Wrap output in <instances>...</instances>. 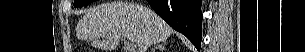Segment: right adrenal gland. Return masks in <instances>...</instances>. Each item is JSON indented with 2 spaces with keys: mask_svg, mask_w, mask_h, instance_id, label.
Here are the masks:
<instances>
[{
  "mask_svg": "<svg viewBox=\"0 0 305 52\" xmlns=\"http://www.w3.org/2000/svg\"><path fill=\"white\" fill-rule=\"evenodd\" d=\"M166 41L157 43L156 45H154V47L152 48L151 52H155V50L159 49L160 51H163L165 49L166 46Z\"/></svg>",
  "mask_w": 305,
  "mask_h": 52,
  "instance_id": "2a0ac1e0",
  "label": "right adrenal gland"
}]
</instances>
